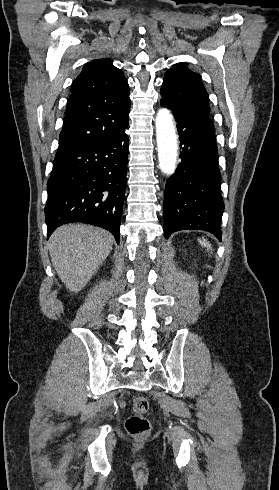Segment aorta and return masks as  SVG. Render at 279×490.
I'll return each instance as SVG.
<instances>
[{"mask_svg":"<svg viewBox=\"0 0 279 490\" xmlns=\"http://www.w3.org/2000/svg\"><path fill=\"white\" fill-rule=\"evenodd\" d=\"M155 126L159 167L162 173L170 176L176 169L178 138L173 116L169 110L165 108L158 110Z\"/></svg>","mask_w":279,"mask_h":490,"instance_id":"obj_1","label":"aorta"}]
</instances>
